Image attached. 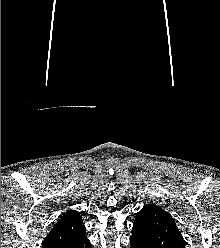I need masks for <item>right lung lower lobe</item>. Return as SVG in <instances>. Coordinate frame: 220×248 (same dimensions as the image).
Here are the masks:
<instances>
[{"mask_svg": "<svg viewBox=\"0 0 220 248\" xmlns=\"http://www.w3.org/2000/svg\"><path fill=\"white\" fill-rule=\"evenodd\" d=\"M90 247V242L88 239L82 241V242H79L73 246H70L69 248H89Z\"/></svg>", "mask_w": 220, "mask_h": 248, "instance_id": "right-lung-lower-lobe-1", "label": "right lung lower lobe"}]
</instances>
